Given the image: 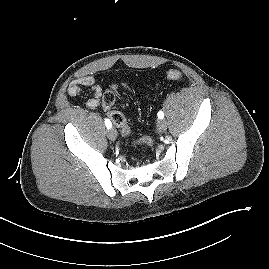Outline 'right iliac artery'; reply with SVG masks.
Listing matches in <instances>:
<instances>
[{"mask_svg":"<svg viewBox=\"0 0 269 269\" xmlns=\"http://www.w3.org/2000/svg\"><path fill=\"white\" fill-rule=\"evenodd\" d=\"M105 125L108 129L112 127V124L109 119H105Z\"/></svg>","mask_w":269,"mask_h":269,"instance_id":"right-iliac-artery-1","label":"right iliac artery"}]
</instances>
